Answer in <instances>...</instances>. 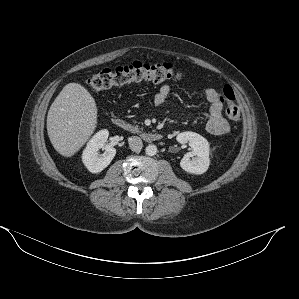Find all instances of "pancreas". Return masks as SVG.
<instances>
[{"instance_id":"cf45deb5","label":"pancreas","mask_w":299,"mask_h":299,"mask_svg":"<svg viewBox=\"0 0 299 299\" xmlns=\"http://www.w3.org/2000/svg\"><path fill=\"white\" fill-rule=\"evenodd\" d=\"M130 131L134 132V133H140V129L138 128V126H129L128 128ZM141 130H143V128H141Z\"/></svg>"}]
</instances>
